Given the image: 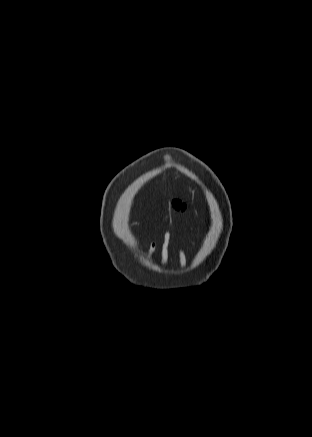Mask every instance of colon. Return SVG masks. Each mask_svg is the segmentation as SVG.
<instances>
[{
	"label": "colon",
	"mask_w": 312,
	"mask_h": 437,
	"mask_svg": "<svg viewBox=\"0 0 312 437\" xmlns=\"http://www.w3.org/2000/svg\"><path fill=\"white\" fill-rule=\"evenodd\" d=\"M171 206L174 210L176 211H180L183 209L184 205L182 204V202L178 201V200H174L171 202Z\"/></svg>",
	"instance_id": "1"
}]
</instances>
